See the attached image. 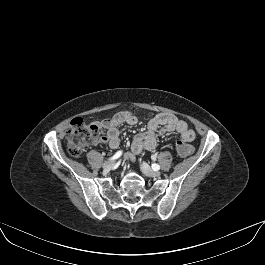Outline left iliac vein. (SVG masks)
<instances>
[{"label": "left iliac vein", "mask_w": 265, "mask_h": 265, "mask_svg": "<svg viewBox=\"0 0 265 265\" xmlns=\"http://www.w3.org/2000/svg\"><path fill=\"white\" fill-rule=\"evenodd\" d=\"M141 170L142 172L148 176V177H154V178H158L160 177L161 173L159 171H155L153 170L147 163L143 162L141 164Z\"/></svg>", "instance_id": "4c4485c4"}]
</instances>
